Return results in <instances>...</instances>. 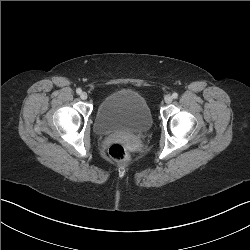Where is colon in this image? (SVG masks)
Masks as SVG:
<instances>
[{"mask_svg": "<svg viewBox=\"0 0 250 250\" xmlns=\"http://www.w3.org/2000/svg\"><path fill=\"white\" fill-rule=\"evenodd\" d=\"M110 157L120 163H128L130 161V154L126 146L120 142H115L109 147Z\"/></svg>", "mask_w": 250, "mask_h": 250, "instance_id": "obj_1", "label": "colon"}]
</instances>
